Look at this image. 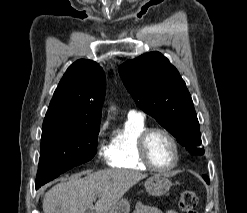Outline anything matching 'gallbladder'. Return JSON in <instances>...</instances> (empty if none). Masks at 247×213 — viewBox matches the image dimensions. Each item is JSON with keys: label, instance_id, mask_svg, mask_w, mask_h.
I'll return each mask as SVG.
<instances>
[{"label": "gallbladder", "instance_id": "bac80fb5", "mask_svg": "<svg viewBox=\"0 0 247 213\" xmlns=\"http://www.w3.org/2000/svg\"><path fill=\"white\" fill-rule=\"evenodd\" d=\"M85 213H94L93 210L88 209Z\"/></svg>", "mask_w": 247, "mask_h": 213}]
</instances>
